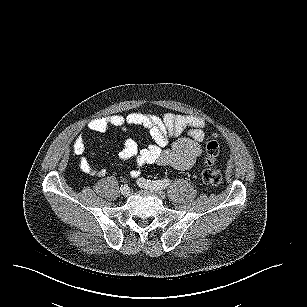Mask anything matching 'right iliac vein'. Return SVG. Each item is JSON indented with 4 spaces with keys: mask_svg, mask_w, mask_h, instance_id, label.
Masks as SVG:
<instances>
[{
    "mask_svg": "<svg viewBox=\"0 0 307 307\" xmlns=\"http://www.w3.org/2000/svg\"><path fill=\"white\" fill-rule=\"evenodd\" d=\"M121 194L123 195V196H129V194H130V189H129V187H121Z\"/></svg>",
    "mask_w": 307,
    "mask_h": 307,
    "instance_id": "right-iliac-vein-1",
    "label": "right iliac vein"
}]
</instances>
